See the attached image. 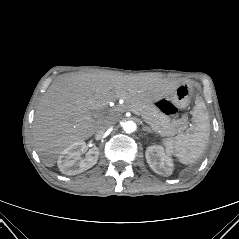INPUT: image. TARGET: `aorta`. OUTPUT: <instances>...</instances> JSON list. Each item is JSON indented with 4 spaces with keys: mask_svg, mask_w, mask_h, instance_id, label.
Masks as SVG:
<instances>
[{
    "mask_svg": "<svg viewBox=\"0 0 239 239\" xmlns=\"http://www.w3.org/2000/svg\"><path fill=\"white\" fill-rule=\"evenodd\" d=\"M123 130L126 133H132L137 129V125L133 121H126L122 124Z\"/></svg>",
    "mask_w": 239,
    "mask_h": 239,
    "instance_id": "obj_1",
    "label": "aorta"
}]
</instances>
